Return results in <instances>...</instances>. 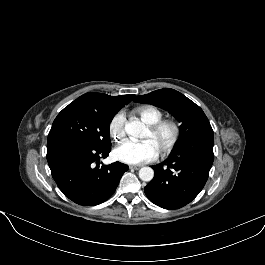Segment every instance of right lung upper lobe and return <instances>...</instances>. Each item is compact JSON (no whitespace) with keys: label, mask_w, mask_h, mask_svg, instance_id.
Here are the masks:
<instances>
[{"label":"right lung upper lobe","mask_w":265,"mask_h":265,"mask_svg":"<svg viewBox=\"0 0 265 265\" xmlns=\"http://www.w3.org/2000/svg\"><path fill=\"white\" fill-rule=\"evenodd\" d=\"M135 95L109 96L103 93L89 92L83 94L71 104H79L91 107L106 114H117V112L128 104Z\"/></svg>","instance_id":"obj_1"}]
</instances>
